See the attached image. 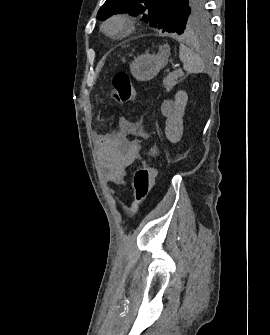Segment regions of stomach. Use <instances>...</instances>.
<instances>
[{"mask_svg": "<svg viewBox=\"0 0 270 335\" xmlns=\"http://www.w3.org/2000/svg\"><path fill=\"white\" fill-rule=\"evenodd\" d=\"M165 48H168V46H165ZM168 56L169 50H160L158 54H142V56H137L130 64V72L133 78L140 80V82L152 80L162 68H165Z\"/></svg>", "mask_w": 270, "mask_h": 335, "instance_id": "stomach-1", "label": "stomach"}]
</instances>
